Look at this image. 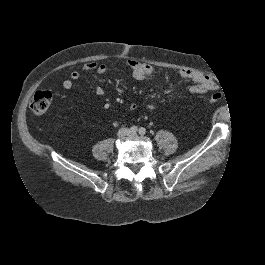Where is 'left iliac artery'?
Wrapping results in <instances>:
<instances>
[{"instance_id":"44dca946","label":"left iliac artery","mask_w":265,"mask_h":265,"mask_svg":"<svg viewBox=\"0 0 265 265\" xmlns=\"http://www.w3.org/2000/svg\"><path fill=\"white\" fill-rule=\"evenodd\" d=\"M145 133H146L145 128L141 127V128L139 129V134H140V135H144Z\"/></svg>"}]
</instances>
